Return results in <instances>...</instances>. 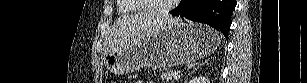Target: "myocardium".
I'll return each mask as SVG.
<instances>
[{
    "label": "myocardium",
    "mask_w": 307,
    "mask_h": 83,
    "mask_svg": "<svg viewBox=\"0 0 307 83\" xmlns=\"http://www.w3.org/2000/svg\"><path fill=\"white\" fill-rule=\"evenodd\" d=\"M139 7H141L144 11L149 12L153 15H165L172 11L174 6L179 2V0H172L167 5L160 7L157 10H150L145 4L144 0H134Z\"/></svg>",
    "instance_id": "1"
}]
</instances>
